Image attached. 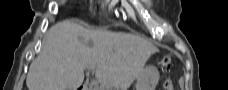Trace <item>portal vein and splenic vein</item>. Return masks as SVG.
<instances>
[{
	"mask_svg": "<svg viewBox=\"0 0 228 90\" xmlns=\"http://www.w3.org/2000/svg\"><path fill=\"white\" fill-rule=\"evenodd\" d=\"M89 69H94L93 67H90Z\"/></svg>",
	"mask_w": 228,
	"mask_h": 90,
	"instance_id": "18ae733b",
	"label": "portal vein and splenic vein"
}]
</instances>
